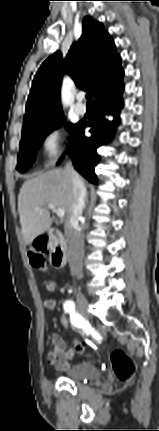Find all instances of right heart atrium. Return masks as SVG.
Here are the masks:
<instances>
[{"label":"right heart atrium","instance_id":"obj_1","mask_svg":"<svg viewBox=\"0 0 159 431\" xmlns=\"http://www.w3.org/2000/svg\"><path fill=\"white\" fill-rule=\"evenodd\" d=\"M40 150L47 166L54 164L63 154V133L58 125L45 130L40 140Z\"/></svg>","mask_w":159,"mask_h":431}]
</instances>
